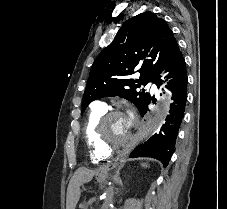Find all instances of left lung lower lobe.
Here are the masks:
<instances>
[{
    "label": "left lung lower lobe",
    "instance_id": "1",
    "mask_svg": "<svg viewBox=\"0 0 227 209\" xmlns=\"http://www.w3.org/2000/svg\"><path fill=\"white\" fill-rule=\"evenodd\" d=\"M168 76H162L157 86L160 87L166 78H171L166 86L172 92L173 103L170 106V115L158 133L154 134L147 142L135 148L130 157H153L163 162L166 166L172 153L177 138L178 128L184 116L187 99V74L182 53L179 52L172 65L168 68ZM151 100L149 101V103ZM148 103V104H149ZM148 105L140 112L144 116Z\"/></svg>",
    "mask_w": 227,
    "mask_h": 209
}]
</instances>
